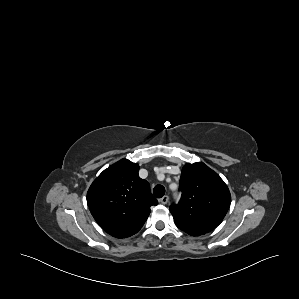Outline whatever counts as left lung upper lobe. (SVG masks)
<instances>
[{
    "instance_id": "1",
    "label": "left lung upper lobe",
    "mask_w": 299,
    "mask_h": 299,
    "mask_svg": "<svg viewBox=\"0 0 299 299\" xmlns=\"http://www.w3.org/2000/svg\"><path fill=\"white\" fill-rule=\"evenodd\" d=\"M182 197L170 206L175 224L191 236L215 229L225 217L231 196L220 176L202 162L186 164L180 177Z\"/></svg>"
}]
</instances>
